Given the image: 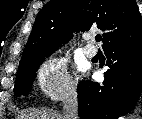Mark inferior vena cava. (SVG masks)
I'll return each instance as SVG.
<instances>
[{"label": "inferior vena cava", "mask_w": 142, "mask_h": 119, "mask_svg": "<svg viewBox=\"0 0 142 119\" xmlns=\"http://www.w3.org/2000/svg\"><path fill=\"white\" fill-rule=\"evenodd\" d=\"M64 119H79L78 98L75 88L71 89L63 98Z\"/></svg>", "instance_id": "1"}]
</instances>
